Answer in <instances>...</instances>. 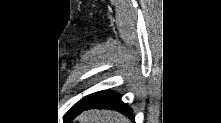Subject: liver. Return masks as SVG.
<instances>
[{
  "label": "liver",
  "instance_id": "liver-1",
  "mask_svg": "<svg viewBox=\"0 0 221 123\" xmlns=\"http://www.w3.org/2000/svg\"><path fill=\"white\" fill-rule=\"evenodd\" d=\"M79 123H130L119 112L111 110H89L77 117Z\"/></svg>",
  "mask_w": 221,
  "mask_h": 123
}]
</instances>
